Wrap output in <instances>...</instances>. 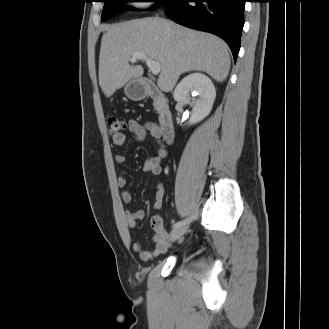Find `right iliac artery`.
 <instances>
[{"mask_svg": "<svg viewBox=\"0 0 329 329\" xmlns=\"http://www.w3.org/2000/svg\"><path fill=\"white\" fill-rule=\"evenodd\" d=\"M192 219H193V216H190V217L186 218L185 220L179 221L173 225V228H176V227H179V226H182L185 224H189L192 221Z\"/></svg>", "mask_w": 329, "mask_h": 329, "instance_id": "82829eb1", "label": "right iliac artery"}]
</instances>
